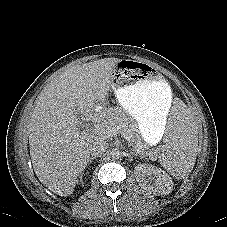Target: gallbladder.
I'll return each mask as SVG.
<instances>
[{"instance_id":"gallbladder-1","label":"gallbladder","mask_w":227,"mask_h":227,"mask_svg":"<svg viewBox=\"0 0 227 227\" xmlns=\"http://www.w3.org/2000/svg\"><path fill=\"white\" fill-rule=\"evenodd\" d=\"M78 117H79V118H83V115H81V114H78Z\"/></svg>"}]
</instances>
